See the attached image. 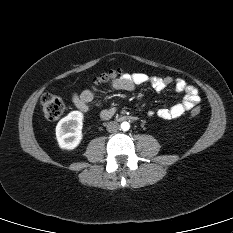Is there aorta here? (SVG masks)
Returning <instances> with one entry per match:
<instances>
[{"label":"aorta","instance_id":"762f6f07","mask_svg":"<svg viewBox=\"0 0 233 233\" xmlns=\"http://www.w3.org/2000/svg\"><path fill=\"white\" fill-rule=\"evenodd\" d=\"M121 129L123 130V131H128L129 129H130V124L128 123V122H122L121 123Z\"/></svg>","mask_w":233,"mask_h":233}]
</instances>
